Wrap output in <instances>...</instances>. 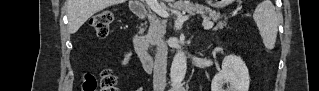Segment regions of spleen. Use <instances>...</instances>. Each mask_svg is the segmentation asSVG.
I'll return each mask as SVG.
<instances>
[{
	"instance_id": "obj_1",
	"label": "spleen",
	"mask_w": 319,
	"mask_h": 91,
	"mask_svg": "<svg viewBox=\"0 0 319 91\" xmlns=\"http://www.w3.org/2000/svg\"><path fill=\"white\" fill-rule=\"evenodd\" d=\"M253 19L258 27L259 33L266 49L275 47L279 19L275 7L270 0H264L255 9Z\"/></svg>"
}]
</instances>
